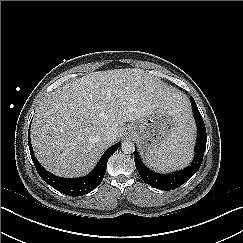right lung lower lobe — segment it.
<instances>
[{"label": "right lung lower lobe", "instance_id": "98d812e1", "mask_svg": "<svg viewBox=\"0 0 243 243\" xmlns=\"http://www.w3.org/2000/svg\"><path fill=\"white\" fill-rule=\"evenodd\" d=\"M28 143L32 161L40 177L54 189L68 196H82L94 190L103 180L107 162L110 156L119 148L121 143L110 147L101 157L99 163L92 172L82 178L66 179L49 173L36 159L30 141V126L28 131Z\"/></svg>", "mask_w": 243, "mask_h": 243}]
</instances>
